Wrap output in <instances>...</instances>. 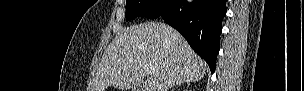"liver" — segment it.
I'll list each match as a JSON object with an SVG mask.
<instances>
[{
    "instance_id": "liver-1",
    "label": "liver",
    "mask_w": 304,
    "mask_h": 91,
    "mask_svg": "<svg viewBox=\"0 0 304 91\" xmlns=\"http://www.w3.org/2000/svg\"><path fill=\"white\" fill-rule=\"evenodd\" d=\"M145 65L153 72L144 91H168L179 83L196 82L207 70L179 32L164 23L146 22L117 33L99 63L95 91L109 86L135 91L143 82Z\"/></svg>"
}]
</instances>
